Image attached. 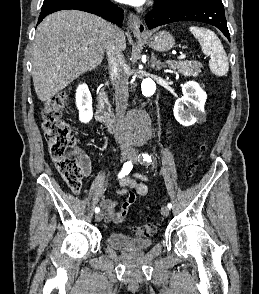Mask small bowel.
I'll return each instance as SVG.
<instances>
[{"label": "small bowel", "instance_id": "small-bowel-1", "mask_svg": "<svg viewBox=\"0 0 259 294\" xmlns=\"http://www.w3.org/2000/svg\"><path fill=\"white\" fill-rule=\"evenodd\" d=\"M82 171L84 176H88L91 172V161L84 153H79ZM119 184L124 189L120 192L123 197L121 201L116 199L105 198L100 202L101 207L105 211V221L116 224L124 222L129 213L130 207L136 200L137 196L145 197L149 193L148 186L131 177H124L119 180Z\"/></svg>", "mask_w": 259, "mask_h": 294}]
</instances>
